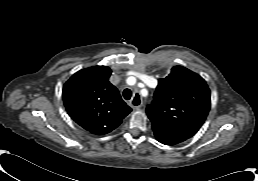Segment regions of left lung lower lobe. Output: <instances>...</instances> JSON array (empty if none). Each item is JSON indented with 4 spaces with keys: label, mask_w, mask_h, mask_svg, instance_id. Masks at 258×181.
Segmentation results:
<instances>
[{
    "label": "left lung lower lobe",
    "mask_w": 258,
    "mask_h": 181,
    "mask_svg": "<svg viewBox=\"0 0 258 181\" xmlns=\"http://www.w3.org/2000/svg\"><path fill=\"white\" fill-rule=\"evenodd\" d=\"M153 131L156 139L165 145H174L186 140V138L170 134L159 129H153Z\"/></svg>",
    "instance_id": "obj_1"
}]
</instances>
